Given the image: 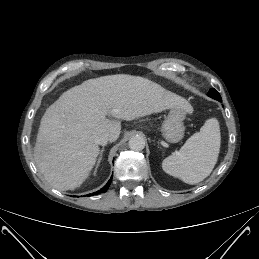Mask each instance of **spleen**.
<instances>
[{
    "label": "spleen",
    "instance_id": "spleen-1",
    "mask_svg": "<svg viewBox=\"0 0 259 259\" xmlns=\"http://www.w3.org/2000/svg\"><path fill=\"white\" fill-rule=\"evenodd\" d=\"M220 127L216 118L208 119L181 149L162 162L167 174L187 184H197L212 172L220 151Z\"/></svg>",
    "mask_w": 259,
    "mask_h": 259
}]
</instances>
